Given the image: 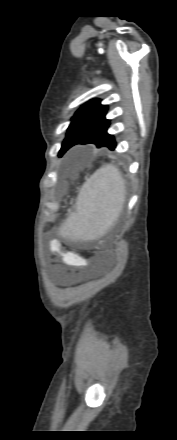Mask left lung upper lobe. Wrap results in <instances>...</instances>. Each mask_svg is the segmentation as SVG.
<instances>
[{
    "mask_svg": "<svg viewBox=\"0 0 177 440\" xmlns=\"http://www.w3.org/2000/svg\"><path fill=\"white\" fill-rule=\"evenodd\" d=\"M107 109L106 105L100 104L99 99H93L78 109L71 119L59 156L96 129L106 125L109 122L105 118Z\"/></svg>",
    "mask_w": 177,
    "mask_h": 440,
    "instance_id": "5c2ea615",
    "label": "left lung upper lobe"
}]
</instances>
